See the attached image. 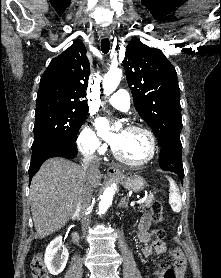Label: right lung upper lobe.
<instances>
[{
    "label": "right lung upper lobe",
    "mask_w": 221,
    "mask_h": 278,
    "mask_svg": "<svg viewBox=\"0 0 221 278\" xmlns=\"http://www.w3.org/2000/svg\"><path fill=\"white\" fill-rule=\"evenodd\" d=\"M90 75L86 48L76 40L61 55L54 58L40 79L36 108L64 107L88 111L83 99Z\"/></svg>",
    "instance_id": "obj_1"
}]
</instances>
